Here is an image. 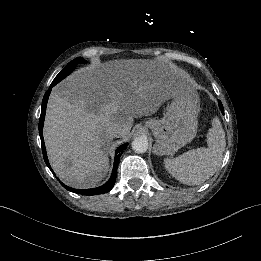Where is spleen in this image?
<instances>
[{"instance_id":"3e777b00","label":"spleen","mask_w":261,"mask_h":261,"mask_svg":"<svg viewBox=\"0 0 261 261\" xmlns=\"http://www.w3.org/2000/svg\"><path fill=\"white\" fill-rule=\"evenodd\" d=\"M208 148L189 150L174 159H164L166 170L186 185H200L215 174L226 147L225 131L218 117L207 134Z\"/></svg>"}]
</instances>
